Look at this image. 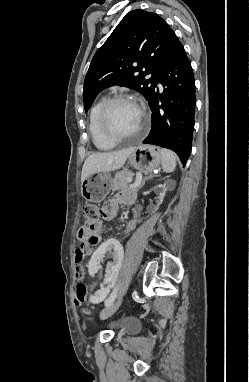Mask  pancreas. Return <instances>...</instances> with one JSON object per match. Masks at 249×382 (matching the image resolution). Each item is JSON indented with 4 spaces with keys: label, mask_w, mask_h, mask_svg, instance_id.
<instances>
[{
    "label": "pancreas",
    "mask_w": 249,
    "mask_h": 382,
    "mask_svg": "<svg viewBox=\"0 0 249 382\" xmlns=\"http://www.w3.org/2000/svg\"><path fill=\"white\" fill-rule=\"evenodd\" d=\"M133 173L127 169H124L123 171L118 172L115 175V178L112 181V190H126V189H132L130 187V182L127 181V178H132Z\"/></svg>",
    "instance_id": "obj_1"
}]
</instances>
